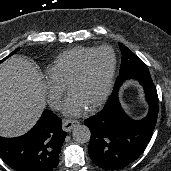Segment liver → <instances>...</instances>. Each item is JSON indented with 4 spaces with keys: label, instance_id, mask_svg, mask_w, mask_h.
Returning a JSON list of instances; mask_svg holds the SVG:
<instances>
[{
    "label": "liver",
    "instance_id": "1",
    "mask_svg": "<svg viewBox=\"0 0 171 171\" xmlns=\"http://www.w3.org/2000/svg\"><path fill=\"white\" fill-rule=\"evenodd\" d=\"M46 105V88L39 67L16 55L0 68V136L17 137L38 121Z\"/></svg>",
    "mask_w": 171,
    "mask_h": 171
}]
</instances>
